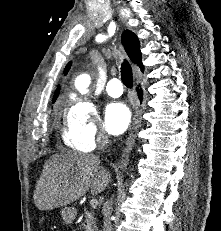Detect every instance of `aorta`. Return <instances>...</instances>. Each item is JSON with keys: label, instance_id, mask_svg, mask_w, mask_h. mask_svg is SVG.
<instances>
[{"label": "aorta", "instance_id": "aorta-1", "mask_svg": "<svg viewBox=\"0 0 221 231\" xmlns=\"http://www.w3.org/2000/svg\"><path fill=\"white\" fill-rule=\"evenodd\" d=\"M89 84H90V77L86 74L79 76L75 81V87L82 94L87 93V88Z\"/></svg>", "mask_w": 221, "mask_h": 231}]
</instances>
